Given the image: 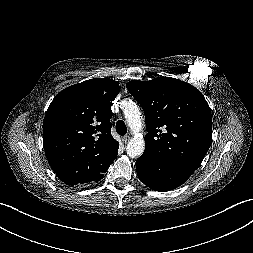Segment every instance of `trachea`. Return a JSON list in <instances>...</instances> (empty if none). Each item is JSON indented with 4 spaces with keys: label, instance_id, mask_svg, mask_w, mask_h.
Here are the masks:
<instances>
[{
    "label": "trachea",
    "instance_id": "obj_1",
    "mask_svg": "<svg viewBox=\"0 0 253 253\" xmlns=\"http://www.w3.org/2000/svg\"><path fill=\"white\" fill-rule=\"evenodd\" d=\"M116 131L119 135L123 136L127 133V127L124 123V121L119 120L116 123Z\"/></svg>",
    "mask_w": 253,
    "mask_h": 253
}]
</instances>
